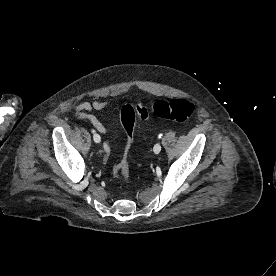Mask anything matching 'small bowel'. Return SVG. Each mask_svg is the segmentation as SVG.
<instances>
[{
  "label": "small bowel",
  "instance_id": "c3829d8e",
  "mask_svg": "<svg viewBox=\"0 0 276 276\" xmlns=\"http://www.w3.org/2000/svg\"><path fill=\"white\" fill-rule=\"evenodd\" d=\"M114 108L120 110V106L114 102L107 100H95L92 102H82L75 106L76 116L80 120L88 121L96 131L101 134H106L108 129L106 126L93 114V111ZM106 156L111 154V142L107 141L103 145Z\"/></svg>",
  "mask_w": 276,
  "mask_h": 276
}]
</instances>
